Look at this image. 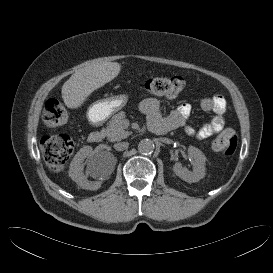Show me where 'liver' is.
<instances>
[{"label": "liver", "mask_w": 273, "mask_h": 273, "mask_svg": "<svg viewBox=\"0 0 273 273\" xmlns=\"http://www.w3.org/2000/svg\"><path fill=\"white\" fill-rule=\"evenodd\" d=\"M121 67L117 62H103L76 71L62 86L65 105L70 109L80 107L93 91L116 78Z\"/></svg>", "instance_id": "liver-1"}]
</instances>
